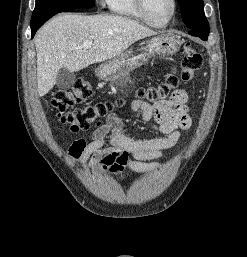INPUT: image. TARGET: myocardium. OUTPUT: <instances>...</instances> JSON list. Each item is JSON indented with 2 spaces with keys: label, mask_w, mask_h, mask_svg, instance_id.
Instances as JSON below:
<instances>
[{
  "label": "myocardium",
  "mask_w": 247,
  "mask_h": 257,
  "mask_svg": "<svg viewBox=\"0 0 247 257\" xmlns=\"http://www.w3.org/2000/svg\"><path fill=\"white\" fill-rule=\"evenodd\" d=\"M136 2V6L138 11L140 12L143 20L150 26L156 27V28H162V27H166L167 25H169L171 23V21L174 19L176 13H177V9H178V2L177 0H172V4H173V10L171 15L169 16V18L161 23H158L156 21H154L147 10V6H146V0H135Z\"/></svg>",
  "instance_id": "myocardium-1"
}]
</instances>
